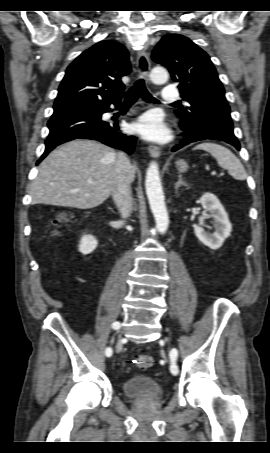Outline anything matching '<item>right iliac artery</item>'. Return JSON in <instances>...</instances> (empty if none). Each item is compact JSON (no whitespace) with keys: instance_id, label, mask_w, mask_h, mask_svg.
<instances>
[{"instance_id":"right-iliac-artery-1","label":"right iliac artery","mask_w":270,"mask_h":453,"mask_svg":"<svg viewBox=\"0 0 270 453\" xmlns=\"http://www.w3.org/2000/svg\"><path fill=\"white\" fill-rule=\"evenodd\" d=\"M112 327H113L114 329H119V328H120V323H119V322H114V323L112 324ZM105 354H106L107 357H110V356L112 355V349H111L110 347H108V348L106 349V351H105Z\"/></svg>"}]
</instances>
